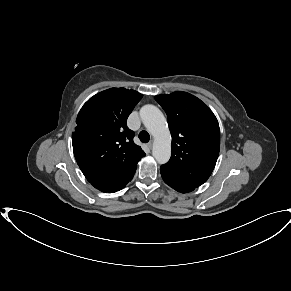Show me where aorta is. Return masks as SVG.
<instances>
[{"label":"aorta","instance_id":"762f6f07","mask_svg":"<svg viewBox=\"0 0 291 291\" xmlns=\"http://www.w3.org/2000/svg\"><path fill=\"white\" fill-rule=\"evenodd\" d=\"M141 120L154 137L152 155L159 164H165L171 156V135L163 113L154 105L140 109Z\"/></svg>","mask_w":291,"mask_h":291}]
</instances>
